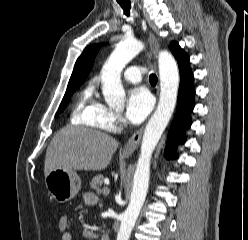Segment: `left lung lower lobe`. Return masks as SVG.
<instances>
[{
  "instance_id": "obj_1",
  "label": "left lung lower lobe",
  "mask_w": 248,
  "mask_h": 240,
  "mask_svg": "<svg viewBox=\"0 0 248 240\" xmlns=\"http://www.w3.org/2000/svg\"><path fill=\"white\" fill-rule=\"evenodd\" d=\"M190 57L187 55L178 62L180 71V87L176 113L168 132V140L165 148L167 158H178L176 153L179 144L186 142L185 131L190 128L192 120L190 114L194 108L195 86L193 84V72L189 66Z\"/></svg>"
}]
</instances>
